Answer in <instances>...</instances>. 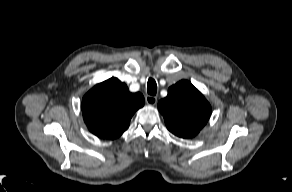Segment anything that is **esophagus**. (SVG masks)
<instances>
[{"label": "esophagus", "mask_w": 292, "mask_h": 192, "mask_svg": "<svg viewBox=\"0 0 292 192\" xmlns=\"http://www.w3.org/2000/svg\"><path fill=\"white\" fill-rule=\"evenodd\" d=\"M146 103L149 105H155L157 103V98L155 96L147 95L145 97Z\"/></svg>", "instance_id": "1"}]
</instances>
